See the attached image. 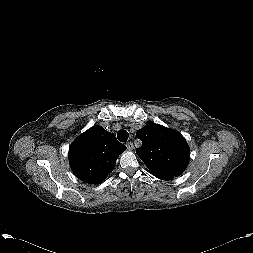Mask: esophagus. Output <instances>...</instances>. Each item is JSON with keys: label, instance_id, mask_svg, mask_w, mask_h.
I'll list each match as a JSON object with an SVG mask.
<instances>
[{"label": "esophagus", "instance_id": "34e87169", "mask_svg": "<svg viewBox=\"0 0 253 253\" xmlns=\"http://www.w3.org/2000/svg\"><path fill=\"white\" fill-rule=\"evenodd\" d=\"M126 147H127L128 150H133L134 149V145L131 141L126 143Z\"/></svg>", "mask_w": 253, "mask_h": 253}]
</instances>
